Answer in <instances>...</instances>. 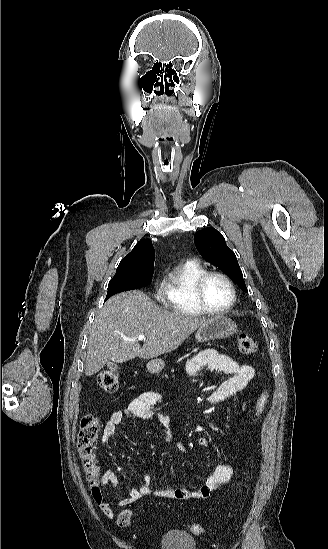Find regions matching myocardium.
Listing matches in <instances>:
<instances>
[{"label": "myocardium", "instance_id": "myocardium-1", "mask_svg": "<svg viewBox=\"0 0 328 549\" xmlns=\"http://www.w3.org/2000/svg\"><path fill=\"white\" fill-rule=\"evenodd\" d=\"M214 276L220 277L225 280L231 289V301L227 307L220 311L210 310L203 306L207 304L204 296L205 285L207 281ZM193 294L196 301V304L193 305V309L198 314H201L203 316H210L213 318H222L224 316H227L232 312L237 302V288L233 279L228 274L219 269H209L203 272L195 282Z\"/></svg>", "mask_w": 328, "mask_h": 549}]
</instances>
